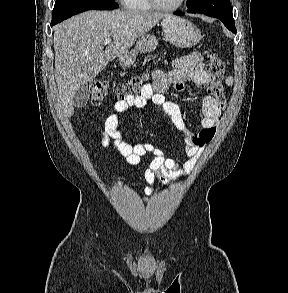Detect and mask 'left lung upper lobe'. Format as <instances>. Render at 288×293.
<instances>
[{
  "label": "left lung upper lobe",
  "mask_w": 288,
  "mask_h": 293,
  "mask_svg": "<svg viewBox=\"0 0 288 293\" xmlns=\"http://www.w3.org/2000/svg\"><path fill=\"white\" fill-rule=\"evenodd\" d=\"M188 10L234 20L230 0H187Z\"/></svg>",
  "instance_id": "5c2ea615"
}]
</instances>
